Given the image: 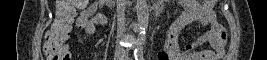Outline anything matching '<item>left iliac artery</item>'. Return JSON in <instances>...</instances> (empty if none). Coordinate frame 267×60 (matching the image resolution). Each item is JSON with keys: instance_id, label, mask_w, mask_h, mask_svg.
I'll use <instances>...</instances> for the list:
<instances>
[{"instance_id": "left-iliac-artery-1", "label": "left iliac artery", "mask_w": 267, "mask_h": 60, "mask_svg": "<svg viewBox=\"0 0 267 60\" xmlns=\"http://www.w3.org/2000/svg\"><path fill=\"white\" fill-rule=\"evenodd\" d=\"M136 60H144L143 54H138Z\"/></svg>"}]
</instances>
